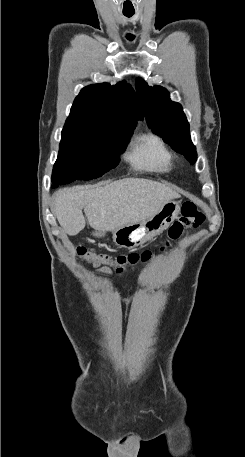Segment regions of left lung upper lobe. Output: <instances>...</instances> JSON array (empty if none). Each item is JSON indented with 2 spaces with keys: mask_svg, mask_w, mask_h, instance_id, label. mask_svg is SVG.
Wrapping results in <instances>:
<instances>
[{
  "mask_svg": "<svg viewBox=\"0 0 245 457\" xmlns=\"http://www.w3.org/2000/svg\"><path fill=\"white\" fill-rule=\"evenodd\" d=\"M136 90L142 112L152 131L194 164L196 148L191 142L189 123L182 106L170 100L165 88L150 87L140 78L136 79Z\"/></svg>",
  "mask_w": 245,
  "mask_h": 457,
  "instance_id": "obj_1",
  "label": "left lung upper lobe"
}]
</instances>
